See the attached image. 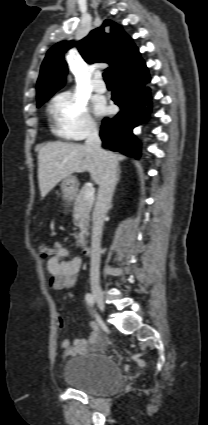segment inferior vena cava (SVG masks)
<instances>
[{
    "label": "inferior vena cava",
    "instance_id": "inferior-vena-cava-1",
    "mask_svg": "<svg viewBox=\"0 0 208 425\" xmlns=\"http://www.w3.org/2000/svg\"><path fill=\"white\" fill-rule=\"evenodd\" d=\"M86 147L96 153L104 163V171L99 183L98 196L93 211V225L91 237V263L90 280L92 283H99V266L101 257V237L104 218L109 208L116 186L117 166L116 157L101 148V139L95 126L87 128Z\"/></svg>",
    "mask_w": 208,
    "mask_h": 425
}]
</instances>
